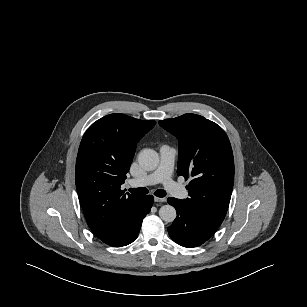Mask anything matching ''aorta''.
I'll list each match as a JSON object with an SVG mask.
<instances>
[{
  "label": "aorta",
  "mask_w": 307,
  "mask_h": 307,
  "mask_svg": "<svg viewBox=\"0 0 307 307\" xmlns=\"http://www.w3.org/2000/svg\"><path fill=\"white\" fill-rule=\"evenodd\" d=\"M138 163L146 171L155 170L159 164V155L153 149H144L138 155ZM159 216L165 222H173L176 210L171 205H164L159 209Z\"/></svg>",
  "instance_id": "aorta-1"
}]
</instances>
